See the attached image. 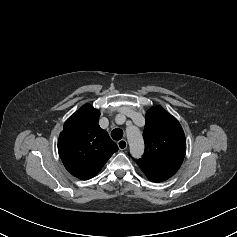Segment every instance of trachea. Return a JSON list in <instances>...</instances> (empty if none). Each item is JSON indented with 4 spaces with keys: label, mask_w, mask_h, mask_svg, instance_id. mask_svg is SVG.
I'll return each mask as SVG.
<instances>
[{
    "label": "trachea",
    "mask_w": 237,
    "mask_h": 237,
    "mask_svg": "<svg viewBox=\"0 0 237 237\" xmlns=\"http://www.w3.org/2000/svg\"><path fill=\"white\" fill-rule=\"evenodd\" d=\"M111 136L114 140H120L123 137V131L119 128L113 129Z\"/></svg>",
    "instance_id": "3493384b"
}]
</instances>
